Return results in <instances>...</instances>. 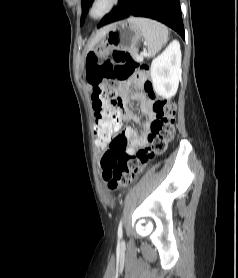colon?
I'll return each instance as SVG.
<instances>
[{
	"label": "colon",
	"instance_id": "obj_1",
	"mask_svg": "<svg viewBox=\"0 0 238 278\" xmlns=\"http://www.w3.org/2000/svg\"><path fill=\"white\" fill-rule=\"evenodd\" d=\"M111 60L100 63L95 53H90L86 63V78L92 87V100L97 124H93L94 135H116L122 125V103L118 84L131 77L141 80L145 92L153 100L155 119L150 125L148 145L130 154L129 144H110L95 141L96 149H106L101 159L103 178L109 189L117 190L130 184L141 168L157 155L162 154L172 140L176 115L175 104L156 95L149 79V67L137 63L130 53L115 50Z\"/></svg>",
	"mask_w": 238,
	"mask_h": 278
}]
</instances>
